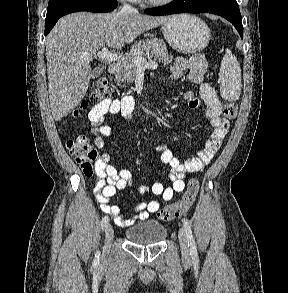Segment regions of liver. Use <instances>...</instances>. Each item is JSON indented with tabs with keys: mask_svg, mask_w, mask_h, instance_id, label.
<instances>
[{
	"mask_svg": "<svg viewBox=\"0 0 288 293\" xmlns=\"http://www.w3.org/2000/svg\"><path fill=\"white\" fill-rule=\"evenodd\" d=\"M170 17L138 12H79L61 18L46 38L48 92L55 121L67 116L85 96L93 76L90 61L103 47L121 49ZM87 53V57H82Z\"/></svg>",
	"mask_w": 288,
	"mask_h": 293,
	"instance_id": "6515ba94",
	"label": "liver"
}]
</instances>
